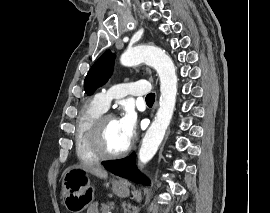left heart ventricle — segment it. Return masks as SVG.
Masks as SVG:
<instances>
[{
    "instance_id": "1",
    "label": "left heart ventricle",
    "mask_w": 270,
    "mask_h": 213,
    "mask_svg": "<svg viewBox=\"0 0 270 213\" xmlns=\"http://www.w3.org/2000/svg\"><path fill=\"white\" fill-rule=\"evenodd\" d=\"M104 148L110 153H117L124 150L126 143L117 119L107 120L103 134Z\"/></svg>"
}]
</instances>
